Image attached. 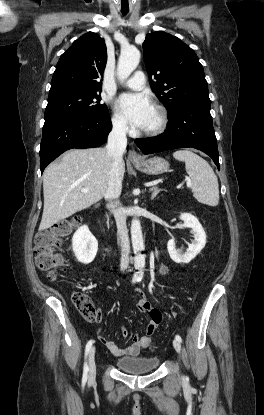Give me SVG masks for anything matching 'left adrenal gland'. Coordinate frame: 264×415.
I'll use <instances>...</instances> for the list:
<instances>
[{
  "label": "left adrenal gland",
  "mask_w": 264,
  "mask_h": 415,
  "mask_svg": "<svg viewBox=\"0 0 264 415\" xmlns=\"http://www.w3.org/2000/svg\"><path fill=\"white\" fill-rule=\"evenodd\" d=\"M150 192H152V196L151 199H154L156 197V195L162 191V189H159L157 186H153L152 188H150L149 190Z\"/></svg>",
  "instance_id": "left-adrenal-gland-1"
}]
</instances>
